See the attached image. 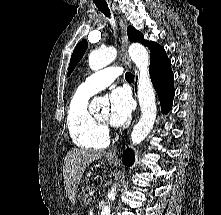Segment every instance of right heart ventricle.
I'll list each match as a JSON object with an SVG mask.
<instances>
[{
	"mask_svg": "<svg viewBox=\"0 0 221 215\" xmlns=\"http://www.w3.org/2000/svg\"><path fill=\"white\" fill-rule=\"evenodd\" d=\"M92 94L77 89L67 108V128L75 145L85 149H102L108 143V136L101 124L88 110Z\"/></svg>",
	"mask_w": 221,
	"mask_h": 215,
	"instance_id": "1",
	"label": "right heart ventricle"
}]
</instances>
